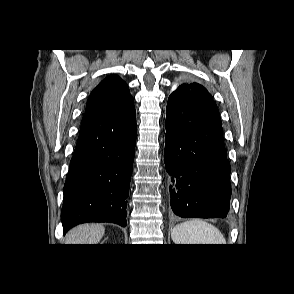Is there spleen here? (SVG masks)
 Returning <instances> with one entry per match:
<instances>
[{
  "mask_svg": "<svg viewBox=\"0 0 294 294\" xmlns=\"http://www.w3.org/2000/svg\"><path fill=\"white\" fill-rule=\"evenodd\" d=\"M171 237L175 244H226L219 229L201 219H192L176 225Z\"/></svg>",
  "mask_w": 294,
  "mask_h": 294,
  "instance_id": "1",
  "label": "spleen"
}]
</instances>
